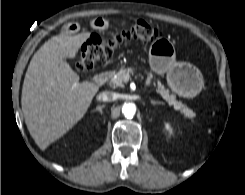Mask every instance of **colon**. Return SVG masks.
I'll return each mask as SVG.
<instances>
[{
	"label": "colon",
	"instance_id": "5ec220e1",
	"mask_svg": "<svg viewBox=\"0 0 245 195\" xmlns=\"http://www.w3.org/2000/svg\"><path fill=\"white\" fill-rule=\"evenodd\" d=\"M158 35V30L151 24L144 20H136L130 27L122 29L107 40H103L100 36H94L81 47L75 61V69L78 72L92 70L106 61L118 46L132 39L147 44L154 41Z\"/></svg>",
	"mask_w": 245,
	"mask_h": 195
}]
</instances>
